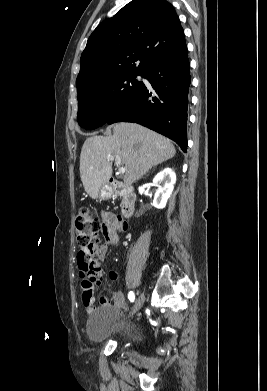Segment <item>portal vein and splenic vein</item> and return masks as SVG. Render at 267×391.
<instances>
[{"label":"portal vein and splenic vein","instance_id":"1","mask_svg":"<svg viewBox=\"0 0 267 391\" xmlns=\"http://www.w3.org/2000/svg\"><path fill=\"white\" fill-rule=\"evenodd\" d=\"M116 160V162H118V163H120L121 162V160H120V157L118 156V155H110L109 157H108V160ZM118 172L120 173V174H124L125 172H126V168L125 167H119V169H118Z\"/></svg>","mask_w":267,"mask_h":391}]
</instances>
